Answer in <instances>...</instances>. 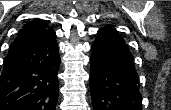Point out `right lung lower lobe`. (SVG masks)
Segmentation results:
<instances>
[{"instance_id": "right-lung-lower-lobe-1", "label": "right lung lower lobe", "mask_w": 171, "mask_h": 110, "mask_svg": "<svg viewBox=\"0 0 171 110\" xmlns=\"http://www.w3.org/2000/svg\"><path fill=\"white\" fill-rule=\"evenodd\" d=\"M59 64L55 32L16 52L3 66L0 110H55Z\"/></svg>"}]
</instances>
